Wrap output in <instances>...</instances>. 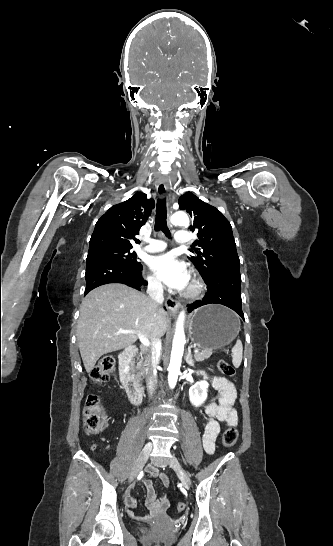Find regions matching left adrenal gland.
I'll return each mask as SVG.
<instances>
[{"label": "left adrenal gland", "mask_w": 333, "mask_h": 546, "mask_svg": "<svg viewBox=\"0 0 333 546\" xmlns=\"http://www.w3.org/2000/svg\"><path fill=\"white\" fill-rule=\"evenodd\" d=\"M185 360H186L188 365L194 366V360H193L192 354H191V347H188V353L186 355Z\"/></svg>", "instance_id": "obj_1"}]
</instances>
